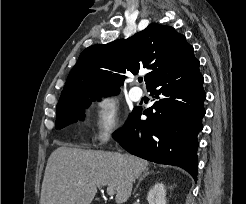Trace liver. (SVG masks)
Here are the masks:
<instances>
[{
	"label": "liver",
	"mask_w": 246,
	"mask_h": 204,
	"mask_svg": "<svg viewBox=\"0 0 246 204\" xmlns=\"http://www.w3.org/2000/svg\"><path fill=\"white\" fill-rule=\"evenodd\" d=\"M148 165L129 154L59 147L47 161L40 204H90L103 185L114 187L116 203L123 204Z\"/></svg>",
	"instance_id": "liver-1"
}]
</instances>
